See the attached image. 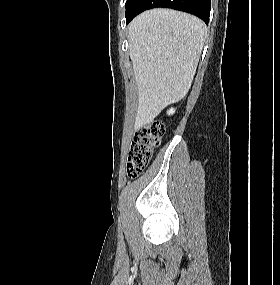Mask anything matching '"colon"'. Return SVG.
Here are the masks:
<instances>
[{
  "instance_id": "obj_1",
  "label": "colon",
  "mask_w": 280,
  "mask_h": 285,
  "mask_svg": "<svg viewBox=\"0 0 280 285\" xmlns=\"http://www.w3.org/2000/svg\"><path fill=\"white\" fill-rule=\"evenodd\" d=\"M163 134L164 125L158 121L143 124L137 129L128 154L129 178H136L149 165Z\"/></svg>"
}]
</instances>
